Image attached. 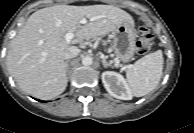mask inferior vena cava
Segmentation results:
<instances>
[{
  "mask_svg": "<svg viewBox=\"0 0 194 133\" xmlns=\"http://www.w3.org/2000/svg\"><path fill=\"white\" fill-rule=\"evenodd\" d=\"M80 52V49L77 47H70L64 54V59L68 60L71 58H74L78 55V53Z\"/></svg>",
  "mask_w": 194,
  "mask_h": 133,
  "instance_id": "602c4592",
  "label": "inferior vena cava"
}]
</instances>
